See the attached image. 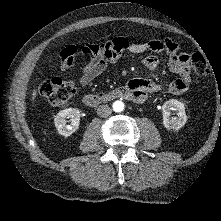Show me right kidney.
I'll list each match as a JSON object with an SVG mask.
<instances>
[{"label": "right kidney", "mask_w": 221, "mask_h": 221, "mask_svg": "<svg viewBox=\"0 0 221 221\" xmlns=\"http://www.w3.org/2000/svg\"><path fill=\"white\" fill-rule=\"evenodd\" d=\"M66 118H71L70 125H66ZM54 124L59 134L68 137L79 129L80 111L77 108H66L61 110L55 116Z\"/></svg>", "instance_id": "ca27d5eb"}]
</instances>
